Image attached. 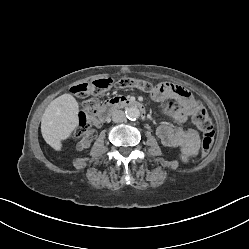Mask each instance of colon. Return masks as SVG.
<instances>
[{"label":"colon","mask_w":249,"mask_h":249,"mask_svg":"<svg viewBox=\"0 0 249 249\" xmlns=\"http://www.w3.org/2000/svg\"><path fill=\"white\" fill-rule=\"evenodd\" d=\"M112 86L118 88H138L142 91L152 93L156 92V87H154L150 82L142 79L134 78H121L114 82L107 79H99L90 82L78 83L71 87V93L78 98H88L83 105L82 111L78 116V126L75 130V136L77 138H82L84 134L91 128L92 124L96 120L98 113V102L94 98ZM194 121L196 122L198 128L202 132V155H206L212 147L214 139V126L213 122L209 116L208 111L200 106L195 115Z\"/></svg>","instance_id":"1"}]
</instances>
